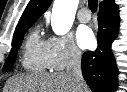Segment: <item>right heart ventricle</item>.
<instances>
[{"label":"right heart ventricle","instance_id":"obj_1","mask_svg":"<svg viewBox=\"0 0 127 92\" xmlns=\"http://www.w3.org/2000/svg\"><path fill=\"white\" fill-rule=\"evenodd\" d=\"M21 64L26 71L34 73H43L50 69L45 57V40L40 37L37 28L25 39Z\"/></svg>","mask_w":127,"mask_h":92}]
</instances>
